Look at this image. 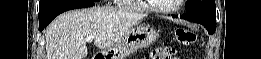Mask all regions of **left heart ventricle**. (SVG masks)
<instances>
[{
    "mask_svg": "<svg viewBox=\"0 0 261 59\" xmlns=\"http://www.w3.org/2000/svg\"><path fill=\"white\" fill-rule=\"evenodd\" d=\"M153 3L161 8H172L178 3V0H156Z\"/></svg>",
    "mask_w": 261,
    "mask_h": 59,
    "instance_id": "b2bd125f",
    "label": "left heart ventricle"
}]
</instances>
